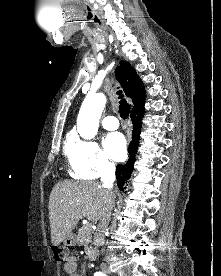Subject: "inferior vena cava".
Masks as SVG:
<instances>
[{"label": "inferior vena cava", "mask_w": 221, "mask_h": 276, "mask_svg": "<svg viewBox=\"0 0 221 276\" xmlns=\"http://www.w3.org/2000/svg\"><path fill=\"white\" fill-rule=\"evenodd\" d=\"M101 181H102V186L111 192L113 187V182L115 181V165L113 163L105 164L104 170L101 176ZM113 206H114L113 201L110 200L107 206L105 215L98 223L97 230L94 234L95 248H98L104 244L105 231L107 230V227L110 221Z\"/></svg>", "instance_id": "obj_1"}]
</instances>
